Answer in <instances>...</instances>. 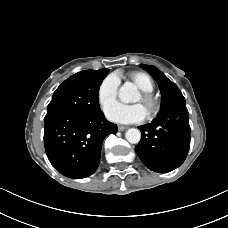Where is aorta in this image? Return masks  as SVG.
Listing matches in <instances>:
<instances>
[{
	"label": "aorta",
	"mask_w": 228,
	"mask_h": 228,
	"mask_svg": "<svg viewBox=\"0 0 228 228\" xmlns=\"http://www.w3.org/2000/svg\"><path fill=\"white\" fill-rule=\"evenodd\" d=\"M138 90L131 82H125L119 89L118 96L124 103L135 102ZM125 137L131 144H137L141 139V133L138 129L130 128L126 131Z\"/></svg>",
	"instance_id": "1"
}]
</instances>
